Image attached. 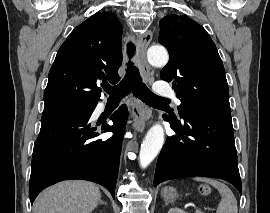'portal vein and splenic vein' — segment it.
Here are the masks:
<instances>
[{"label":"portal vein and splenic vein","mask_w":270,"mask_h":213,"mask_svg":"<svg viewBox=\"0 0 270 213\" xmlns=\"http://www.w3.org/2000/svg\"><path fill=\"white\" fill-rule=\"evenodd\" d=\"M196 213H203V212H201L200 210L197 209V210H196Z\"/></svg>","instance_id":"obj_1"}]
</instances>
